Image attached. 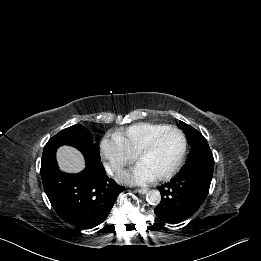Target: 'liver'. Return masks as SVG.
Listing matches in <instances>:
<instances>
[{
  "label": "liver",
  "mask_w": 261,
  "mask_h": 261,
  "mask_svg": "<svg viewBox=\"0 0 261 261\" xmlns=\"http://www.w3.org/2000/svg\"><path fill=\"white\" fill-rule=\"evenodd\" d=\"M56 157L62 171L78 173L85 168L83 155L71 146H61L58 148Z\"/></svg>",
  "instance_id": "obj_1"
}]
</instances>
